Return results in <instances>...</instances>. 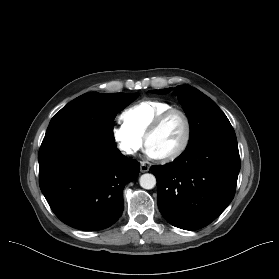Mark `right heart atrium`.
<instances>
[{
	"instance_id": "1",
	"label": "right heart atrium",
	"mask_w": 279,
	"mask_h": 279,
	"mask_svg": "<svg viewBox=\"0 0 279 279\" xmlns=\"http://www.w3.org/2000/svg\"><path fill=\"white\" fill-rule=\"evenodd\" d=\"M112 138L118 150L126 156L138 153L143 145L144 139L129 128L124 122L116 123L111 130Z\"/></svg>"
}]
</instances>
